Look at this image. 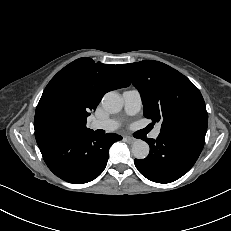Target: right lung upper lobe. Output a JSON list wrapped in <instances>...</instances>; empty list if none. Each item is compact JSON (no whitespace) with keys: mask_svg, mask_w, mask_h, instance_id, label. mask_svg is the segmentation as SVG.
<instances>
[{"mask_svg":"<svg viewBox=\"0 0 231 231\" xmlns=\"http://www.w3.org/2000/svg\"><path fill=\"white\" fill-rule=\"evenodd\" d=\"M117 66L95 63L88 57L79 58L51 79L35 111L38 146L58 137L92 131L86 127V118L104 94L130 85Z\"/></svg>","mask_w":231,"mask_h":231,"instance_id":"cb5924a9","label":"right lung upper lobe"}]
</instances>
